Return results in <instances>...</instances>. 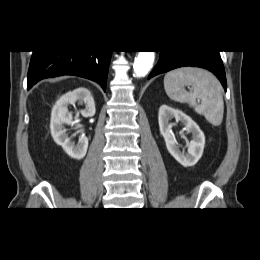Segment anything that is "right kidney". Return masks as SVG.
<instances>
[{
	"mask_svg": "<svg viewBox=\"0 0 260 260\" xmlns=\"http://www.w3.org/2000/svg\"><path fill=\"white\" fill-rule=\"evenodd\" d=\"M85 105L80 113L83 117L94 116L96 109L94 99L90 91L80 87L61 96L55 103L51 112L50 131L54 141L62 146L63 150L71 157L81 160L85 157L88 149V138L85 135L79 136L78 143L71 140L66 133L65 125H71L73 122L72 113L68 110L69 105Z\"/></svg>",
	"mask_w": 260,
	"mask_h": 260,
	"instance_id": "obj_1",
	"label": "right kidney"
}]
</instances>
